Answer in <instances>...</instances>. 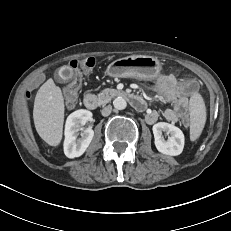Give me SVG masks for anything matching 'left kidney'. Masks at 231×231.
<instances>
[{
    "mask_svg": "<svg viewBox=\"0 0 231 231\" xmlns=\"http://www.w3.org/2000/svg\"><path fill=\"white\" fill-rule=\"evenodd\" d=\"M152 130L155 146L160 153L170 156H177L182 153L185 138L178 127L166 122H159L153 126ZM163 132L168 134L167 140L162 136Z\"/></svg>",
    "mask_w": 231,
    "mask_h": 231,
    "instance_id": "obj_1",
    "label": "left kidney"
}]
</instances>
